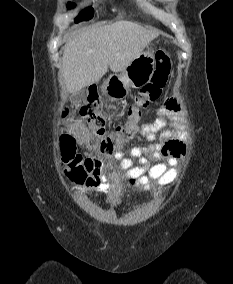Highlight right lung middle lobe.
<instances>
[{"label":"right lung middle lobe","instance_id":"right-lung-middle-lobe-1","mask_svg":"<svg viewBox=\"0 0 233 284\" xmlns=\"http://www.w3.org/2000/svg\"><path fill=\"white\" fill-rule=\"evenodd\" d=\"M67 6L68 8H74L75 4L69 2ZM93 16H94L93 8H86L79 13L78 17L75 19V23H78L80 21L90 20L91 18H93Z\"/></svg>","mask_w":233,"mask_h":284}]
</instances>
